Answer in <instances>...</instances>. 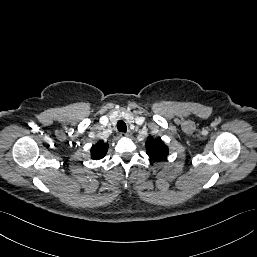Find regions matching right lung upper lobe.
Returning a JSON list of instances; mask_svg holds the SVG:
<instances>
[{"instance_id": "1", "label": "right lung upper lobe", "mask_w": 257, "mask_h": 257, "mask_svg": "<svg viewBox=\"0 0 257 257\" xmlns=\"http://www.w3.org/2000/svg\"><path fill=\"white\" fill-rule=\"evenodd\" d=\"M108 150V144H105L103 142H98L91 148V158L92 159H101L103 158Z\"/></svg>"}]
</instances>
